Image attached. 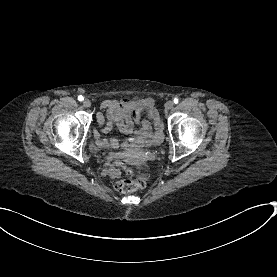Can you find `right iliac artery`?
Here are the masks:
<instances>
[{
    "label": "right iliac artery",
    "mask_w": 277,
    "mask_h": 277,
    "mask_svg": "<svg viewBox=\"0 0 277 277\" xmlns=\"http://www.w3.org/2000/svg\"><path fill=\"white\" fill-rule=\"evenodd\" d=\"M78 100H79V101H83V100H84V97H83L82 95H79V96H78Z\"/></svg>",
    "instance_id": "1"
}]
</instances>
